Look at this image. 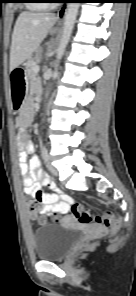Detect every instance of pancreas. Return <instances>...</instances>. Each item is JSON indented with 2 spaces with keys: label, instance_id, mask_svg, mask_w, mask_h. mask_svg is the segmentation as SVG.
<instances>
[{
  "label": "pancreas",
  "instance_id": "cf45deb5",
  "mask_svg": "<svg viewBox=\"0 0 136 296\" xmlns=\"http://www.w3.org/2000/svg\"><path fill=\"white\" fill-rule=\"evenodd\" d=\"M41 55H42V50L39 49L36 52L35 57L28 59L26 63V73L28 77H33L36 75L34 72V66L37 65L36 61H38L41 58Z\"/></svg>",
  "mask_w": 136,
  "mask_h": 296
}]
</instances>
